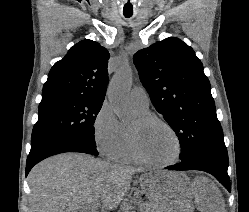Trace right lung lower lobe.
Segmentation results:
<instances>
[{
    "label": "right lung lower lobe",
    "instance_id": "obj_1",
    "mask_svg": "<svg viewBox=\"0 0 249 212\" xmlns=\"http://www.w3.org/2000/svg\"><path fill=\"white\" fill-rule=\"evenodd\" d=\"M64 152L98 154L96 149H92L85 142L74 136L56 135L40 138L32 142L31 150L26 161V176L31 168L38 162L52 155Z\"/></svg>",
    "mask_w": 249,
    "mask_h": 212
}]
</instances>
